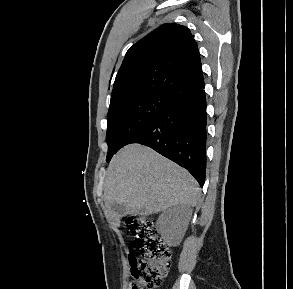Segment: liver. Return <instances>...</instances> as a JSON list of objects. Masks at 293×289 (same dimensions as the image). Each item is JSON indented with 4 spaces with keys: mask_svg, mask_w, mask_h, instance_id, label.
I'll list each match as a JSON object with an SVG mask.
<instances>
[{
    "mask_svg": "<svg viewBox=\"0 0 293 289\" xmlns=\"http://www.w3.org/2000/svg\"><path fill=\"white\" fill-rule=\"evenodd\" d=\"M199 194L187 170L140 144L119 150L107 168L104 201L117 222L121 216L112 210L114 204H124L129 215H150L175 205L193 207Z\"/></svg>",
    "mask_w": 293,
    "mask_h": 289,
    "instance_id": "liver-1",
    "label": "liver"
}]
</instances>
